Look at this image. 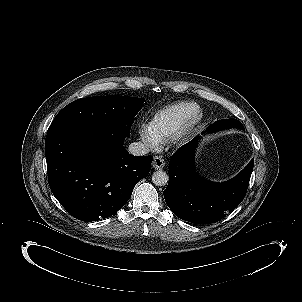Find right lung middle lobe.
<instances>
[{
  "label": "right lung middle lobe",
  "mask_w": 302,
  "mask_h": 302,
  "mask_svg": "<svg viewBox=\"0 0 302 302\" xmlns=\"http://www.w3.org/2000/svg\"><path fill=\"white\" fill-rule=\"evenodd\" d=\"M144 101L117 95L78 99L57 114L49 129L70 123H99L128 137L134 117L142 109Z\"/></svg>",
  "instance_id": "right-lung-middle-lobe-1"
}]
</instances>
